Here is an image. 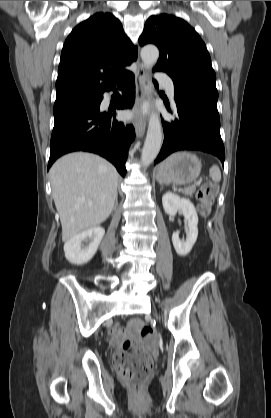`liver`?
<instances>
[{"label":"liver","mask_w":271,"mask_h":418,"mask_svg":"<svg viewBox=\"0 0 271 418\" xmlns=\"http://www.w3.org/2000/svg\"><path fill=\"white\" fill-rule=\"evenodd\" d=\"M119 174L91 153L63 156L50 169L52 195L62 225V241L104 222L114 209Z\"/></svg>","instance_id":"liver-1"}]
</instances>
